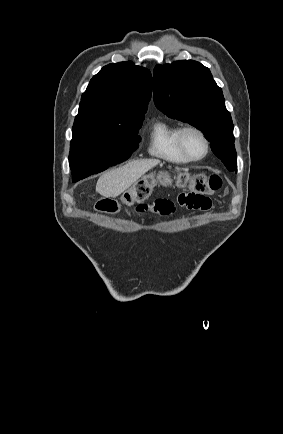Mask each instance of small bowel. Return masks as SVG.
I'll return each instance as SVG.
<instances>
[{"mask_svg":"<svg viewBox=\"0 0 283 434\" xmlns=\"http://www.w3.org/2000/svg\"><path fill=\"white\" fill-rule=\"evenodd\" d=\"M176 202L180 206L192 210L205 211L211 207L209 197L193 191L180 193ZM136 209L139 213L149 212L159 215H169L175 210V202L167 198H158L150 204L140 203Z\"/></svg>","mask_w":283,"mask_h":434,"instance_id":"c3829d8e","label":"small bowel"}]
</instances>
